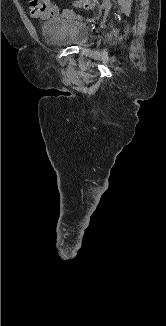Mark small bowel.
I'll return each instance as SVG.
<instances>
[{
	"mask_svg": "<svg viewBox=\"0 0 166 326\" xmlns=\"http://www.w3.org/2000/svg\"><path fill=\"white\" fill-rule=\"evenodd\" d=\"M58 12L59 8L52 0H28V13L34 19H48Z\"/></svg>",
	"mask_w": 166,
	"mask_h": 326,
	"instance_id": "small-bowel-1",
	"label": "small bowel"
}]
</instances>
